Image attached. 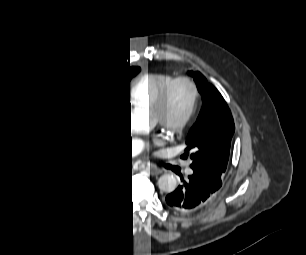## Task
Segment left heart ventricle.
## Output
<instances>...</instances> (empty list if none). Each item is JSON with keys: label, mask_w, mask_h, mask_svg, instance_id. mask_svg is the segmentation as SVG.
<instances>
[{"label": "left heart ventricle", "mask_w": 306, "mask_h": 255, "mask_svg": "<svg viewBox=\"0 0 306 255\" xmlns=\"http://www.w3.org/2000/svg\"><path fill=\"white\" fill-rule=\"evenodd\" d=\"M191 99V90L186 85L179 86L175 93L173 94L167 111L165 114V119L168 122H175L183 117L186 113ZM157 118L159 116L156 114Z\"/></svg>", "instance_id": "left-heart-ventricle-1"}]
</instances>
